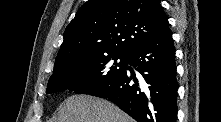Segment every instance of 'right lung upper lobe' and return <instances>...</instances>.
Segmentation results:
<instances>
[{
	"instance_id": "1",
	"label": "right lung upper lobe",
	"mask_w": 221,
	"mask_h": 122,
	"mask_svg": "<svg viewBox=\"0 0 221 122\" xmlns=\"http://www.w3.org/2000/svg\"><path fill=\"white\" fill-rule=\"evenodd\" d=\"M167 24L158 0H88L65 29L52 76L94 58L130 56Z\"/></svg>"
}]
</instances>
